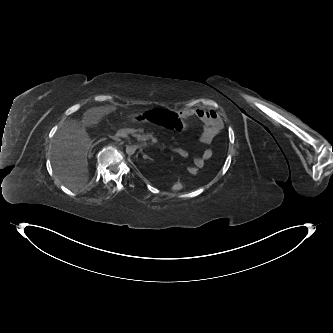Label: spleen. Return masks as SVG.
<instances>
[{"label":"spleen","mask_w":333,"mask_h":333,"mask_svg":"<svg viewBox=\"0 0 333 333\" xmlns=\"http://www.w3.org/2000/svg\"><path fill=\"white\" fill-rule=\"evenodd\" d=\"M183 188V184L181 182H177L172 186L173 191H179Z\"/></svg>","instance_id":"1"}]
</instances>
